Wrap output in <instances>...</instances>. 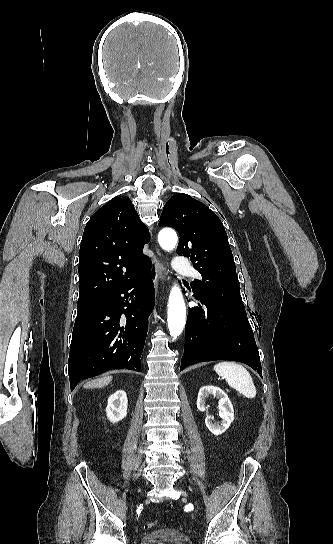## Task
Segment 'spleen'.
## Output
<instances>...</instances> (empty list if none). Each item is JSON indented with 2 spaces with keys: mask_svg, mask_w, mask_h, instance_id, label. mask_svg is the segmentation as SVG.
<instances>
[{
  "mask_svg": "<svg viewBox=\"0 0 333 544\" xmlns=\"http://www.w3.org/2000/svg\"><path fill=\"white\" fill-rule=\"evenodd\" d=\"M215 372L225 378L228 385L246 398L256 396V388L249 372L240 364L223 361L214 366Z\"/></svg>",
  "mask_w": 333,
  "mask_h": 544,
  "instance_id": "3e777b00",
  "label": "spleen"
}]
</instances>
